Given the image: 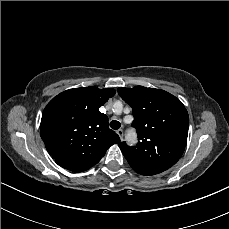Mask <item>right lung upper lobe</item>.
Masks as SVG:
<instances>
[{"mask_svg": "<svg viewBox=\"0 0 229 229\" xmlns=\"http://www.w3.org/2000/svg\"><path fill=\"white\" fill-rule=\"evenodd\" d=\"M93 86L66 90L45 107L40 134L48 153L61 167L82 172L99 162L106 150L120 142L99 111L115 94Z\"/></svg>", "mask_w": 229, "mask_h": 229, "instance_id": "cb5924a9", "label": "right lung upper lobe"}]
</instances>
